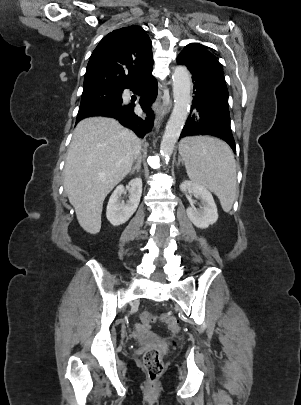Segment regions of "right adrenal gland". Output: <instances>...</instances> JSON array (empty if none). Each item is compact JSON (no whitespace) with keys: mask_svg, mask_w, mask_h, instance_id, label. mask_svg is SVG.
Wrapping results in <instances>:
<instances>
[{"mask_svg":"<svg viewBox=\"0 0 301 405\" xmlns=\"http://www.w3.org/2000/svg\"><path fill=\"white\" fill-rule=\"evenodd\" d=\"M140 169H141V157H139V159L137 160L135 166L130 171V174H133L135 171L139 172Z\"/></svg>","mask_w":301,"mask_h":405,"instance_id":"2a0ac1e0","label":"right adrenal gland"}]
</instances>
